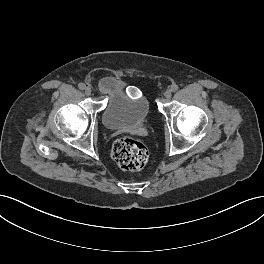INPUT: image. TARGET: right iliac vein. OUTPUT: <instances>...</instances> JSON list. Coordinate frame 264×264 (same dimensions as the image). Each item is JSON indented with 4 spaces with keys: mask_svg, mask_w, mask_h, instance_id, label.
<instances>
[{
    "mask_svg": "<svg viewBox=\"0 0 264 264\" xmlns=\"http://www.w3.org/2000/svg\"><path fill=\"white\" fill-rule=\"evenodd\" d=\"M91 93H92V89H91V87H86V88H85V94H86V95H91Z\"/></svg>",
    "mask_w": 264,
    "mask_h": 264,
    "instance_id": "right-iliac-vein-1",
    "label": "right iliac vein"
}]
</instances>
